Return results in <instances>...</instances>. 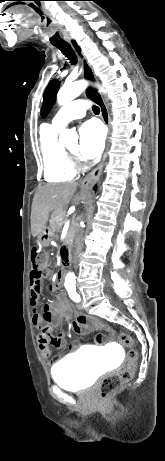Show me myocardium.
Returning a JSON list of instances; mask_svg holds the SVG:
<instances>
[{
  "mask_svg": "<svg viewBox=\"0 0 165 461\" xmlns=\"http://www.w3.org/2000/svg\"><path fill=\"white\" fill-rule=\"evenodd\" d=\"M65 151L68 154L74 168H80L81 167V161L78 158L77 153H73V152H71L69 150H65Z\"/></svg>",
  "mask_w": 165,
  "mask_h": 461,
  "instance_id": "f54148a6",
  "label": "myocardium"
}]
</instances>
